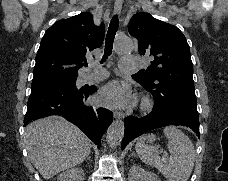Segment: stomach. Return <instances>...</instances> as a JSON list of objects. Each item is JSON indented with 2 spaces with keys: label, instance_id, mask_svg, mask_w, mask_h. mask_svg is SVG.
Returning <instances> with one entry per match:
<instances>
[{
  "label": "stomach",
  "instance_id": "obj_1",
  "mask_svg": "<svg viewBox=\"0 0 228 181\" xmlns=\"http://www.w3.org/2000/svg\"><path fill=\"white\" fill-rule=\"evenodd\" d=\"M146 143H154L156 137L155 135H148V137H145Z\"/></svg>",
  "mask_w": 228,
  "mask_h": 181
}]
</instances>
